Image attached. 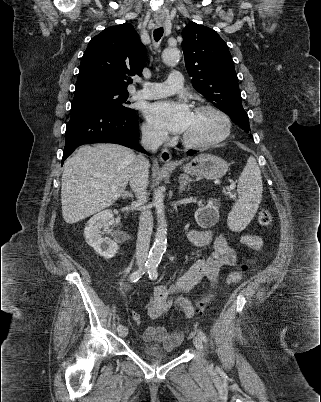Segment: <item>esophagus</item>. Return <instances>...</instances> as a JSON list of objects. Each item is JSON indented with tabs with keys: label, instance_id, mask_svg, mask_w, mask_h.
I'll return each mask as SVG.
<instances>
[{
	"label": "esophagus",
	"instance_id": "34e87169",
	"mask_svg": "<svg viewBox=\"0 0 321 402\" xmlns=\"http://www.w3.org/2000/svg\"><path fill=\"white\" fill-rule=\"evenodd\" d=\"M160 24V22L158 23ZM160 159L162 162H164L166 165H172L174 164V161H172V156L171 153L168 149L163 148L160 152Z\"/></svg>",
	"mask_w": 321,
	"mask_h": 402
}]
</instances>
